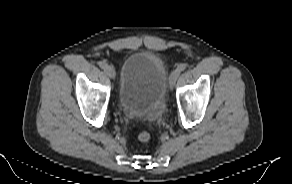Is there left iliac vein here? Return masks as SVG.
<instances>
[{"label":"left iliac vein","instance_id":"obj_1","mask_svg":"<svg viewBox=\"0 0 292 184\" xmlns=\"http://www.w3.org/2000/svg\"><path fill=\"white\" fill-rule=\"evenodd\" d=\"M179 72L177 70L172 71L170 78H169V88L172 90L175 86L176 80L179 76Z\"/></svg>","mask_w":292,"mask_h":184}]
</instances>
